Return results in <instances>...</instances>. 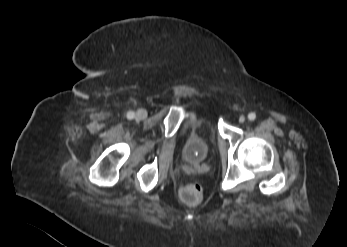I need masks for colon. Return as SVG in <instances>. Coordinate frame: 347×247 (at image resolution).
Segmentation results:
<instances>
[{
	"label": "colon",
	"instance_id": "1",
	"mask_svg": "<svg viewBox=\"0 0 347 247\" xmlns=\"http://www.w3.org/2000/svg\"><path fill=\"white\" fill-rule=\"evenodd\" d=\"M182 200L189 205H196L202 201L203 188L199 183H189L181 188Z\"/></svg>",
	"mask_w": 347,
	"mask_h": 247
}]
</instances>
